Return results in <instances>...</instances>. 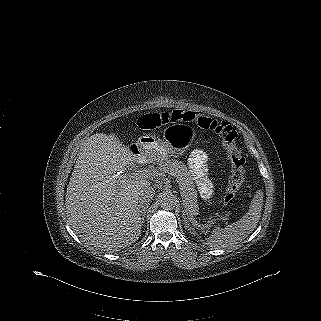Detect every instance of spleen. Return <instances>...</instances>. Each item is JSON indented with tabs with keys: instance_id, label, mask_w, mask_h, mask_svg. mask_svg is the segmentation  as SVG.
I'll list each match as a JSON object with an SVG mask.
<instances>
[{
	"instance_id": "spleen-1",
	"label": "spleen",
	"mask_w": 321,
	"mask_h": 321,
	"mask_svg": "<svg viewBox=\"0 0 321 321\" xmlns=\"http://www.w3.org/2000/svg\"><path fill=\"white\" fill-rule=\"evenodd\" d=\"M263 207V193L257 192L248 212L238 221L225 228L216 227L208 238V245L213 248H228L246 238L257 226Z\"/></svg>"
}]
</instances>
